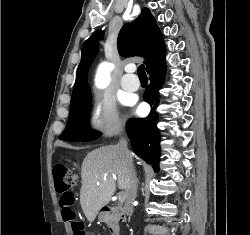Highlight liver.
<instances>
[{"mask_svg":"<svg viewBox=\"0 0 250 235\" xmlns=\"http://www.w3.org/2000/svg\"><path fill=\"white\" fill-rule=\"evenodd\" d=\"M80 204L89 222L107 205L116 186L128 190L130 177L119 157L117 146H104L91 151L81 167Z\"/></svg>","mask_w":250,"mask_h":235,"instance_id":"1","label":"liver"}]
</instances>
